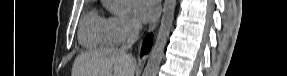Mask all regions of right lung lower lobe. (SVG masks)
Listing matches in <instances>:
<instances>
[{
    "mask_svg": "<svg viewBox=\"0 0 287 76\" xmlns=\"http://www.w3.org/2000/svg\"><path fill=\"white\" fill-rule=\"evenodd\" d=\"M152 45V35H148L143 42V53L146 54L149 52Z\"/></svg>",
    "mask_w": 287,
    "mask_h": 76,
    "instance_id": "obj_1",
    "label": "right lung lower lobe"
}]
</instances>
